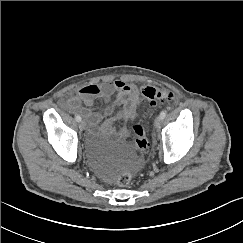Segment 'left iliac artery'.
Wrapping results in <instances>:
<instances>
[{
	"instance_id": "obj_1",
	"label": "left iliac artery",
	"mask_w": 243,
	"mask_h": 243,
	"mask_svg": "<svg viewBox=\"0 0 243 243\" xmlns=\"http://www.w3.org/2000/svg\"><path fill=\"white\" fill-rule=\"evenodd\" d=\"M166 114H167L166 110L161 111L160 118L163 120L166 117Z\"/></svg>"
}]
</instances>
